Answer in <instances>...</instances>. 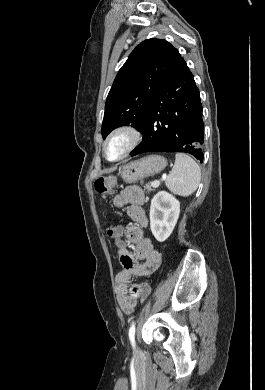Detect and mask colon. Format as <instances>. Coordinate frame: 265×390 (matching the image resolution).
I'll return each instance as SVG.
<instances>
[{
  "label": "colon",
  "mask_w": 265,
  "mask_h": 390,
  "mask_svg": "<svg viewBox=\"0 0 265 390\" xmlns=\"http://www.w3.org/2000/svg\"><path fill=\"white\" fill-rule=\"evenodd\" d=\"M115 183H116V179L112 176L99 177L95 180L94 187L96 192L99 195L105 197L112 192ZM107 235L111 240L117 242L119 239L118 226L110 225L107 228ZM149 292H150V286L148 283L144 282L140 284V288H139L140 300L142 301L146 300V298L149 295Z\"/></svg>",
  "instance_id": "obj_1"
}]
</instances>
